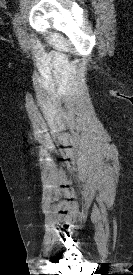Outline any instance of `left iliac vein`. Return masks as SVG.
<instances>
[{
    "label": "left iliac vein",
    "mask_w": 133,
    "mask_h": 275,
    "mask_svg": "<svg viewBox=\"0 0 133 275\" xmlns=\"http://www.w3.org/2000/svg\"><path fill=\"white\" fill-rule=\"evenodd\" d=\"M15 30L20 42H26L25 30L23 29L20 21L15 24Z\"/></svg>",
    "instance_id": "left-iliac-vein-1"
}]
</instances>
